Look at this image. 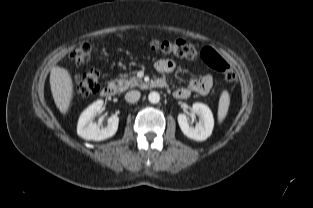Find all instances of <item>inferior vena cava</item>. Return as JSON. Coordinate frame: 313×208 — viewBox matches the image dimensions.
<instances>
[{"mask_svg":"<svg viewBox=\"0 0 313 208\" xmlns=\"http://www.w3.org/2000/svg\"><path fill=\"white\" fill-rule=\"evenodd\" d=\"M141 94L137 90L129 91L125 95V100L129 103H135L139 100Z\"/></svg>","mask_w":313,"mask_h":208,"instance_id":"obj_1","label":"inferior vena cava"}]
</instances>
